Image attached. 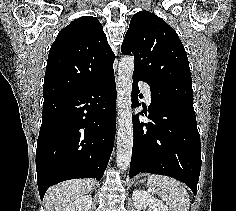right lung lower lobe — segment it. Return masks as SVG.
<instances>
[{"instance_id": "1", "label": "right lung lower lobe", "mask_w": 236, "mask_h": 211, "mask_svg": "<svg viewBox=\"0 0 236 211\" xmlns=\"http://www.w3.org/2000/svg\"><path fill=\"white\" fill-rule=\"evenodd\" d=\"M113 72L80 91L44 98L36 150L41 200L46 190L75 178H102L116 132Z\"/></svg>"}]
</instances>
